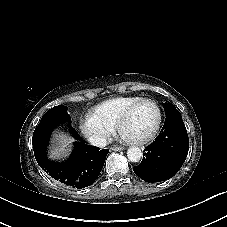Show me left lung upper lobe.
<instances>
[{"label":"left lung upper lobe","mask_w":227,"mask_h":227,"mask_svg":"<svg viewBox=\"0 0 227 227\" xmlns=\"http://www.w3.org/2000/svg\"><path fill=\"white\" fill-rule=\"evenodd\" d=\"M163 107L165 110L166 118L167 117H179L181 118L180 112L175 108V106L171 103H163Z\"/></svg>","instance_id":"left-lung-upper-lobe-1"}]
</instances>
